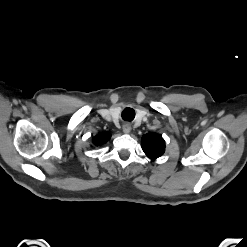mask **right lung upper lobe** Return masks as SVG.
Returning a JSON list of instances; mask_svg holds the SVG:
<instances>
[{"instance_id": "1", "label": "right lung upper lobe", "mask_w": 247, "mask_h": 247, "mask_svg": "<svg viewBox=\"0 0 247 247\" xmlns=\"http://www.w3.org/2000/svg\"><path fill=\"white\" fill-rule=\"evenodd\" d=\"M110 139L108 134H99L93 138V143L95 146H99L103 143H106Z\"/></svg>"}]
</instances>
